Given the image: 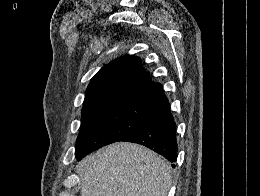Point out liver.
Masks as SVG:
<instances>
[{
  "label": "liver",
  "instance_id": "liver-1",
  "mask_svg": "<svg viewBox=\"0 0 260 196\" xmlns=\"http://www.w3.org/2000/svg\"><path fill=\"white\" fill-rule=\"evenodd\" d=\"M81 196H167L171 168L161 156L129 142L110 144L79 164Z\"/></svg>",
  "mask_w": 260,
  "mask_h": 196
}]
</instances>
